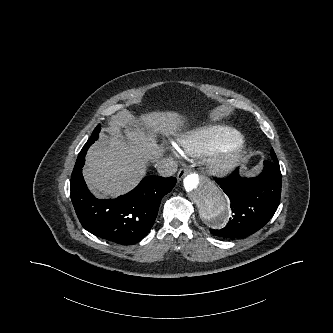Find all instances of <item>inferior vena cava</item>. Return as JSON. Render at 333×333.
Returning a JSON list of instances; mask_svg holds the SVG:
<instances>
[{"mask_svg": "<svg viewBox=\"0 0 333 333\" xmlns=\"http://www.w3.org/2000/svg\"><path fill=\"white\" fill-rule=\"evenodd\" d=\"M157 171L162 177H169L176 173L177 163L173 159L164 158L156 163Z\"/></svg>", "mask_w": 333, "mask_h": 333, "instance_id": "inferior-vena-cava-1", "label": "inferior vena cava"}]
</instances>
